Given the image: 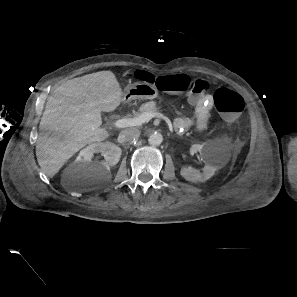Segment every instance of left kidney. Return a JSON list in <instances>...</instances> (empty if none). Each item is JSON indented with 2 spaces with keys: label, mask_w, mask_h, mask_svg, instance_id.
I'll list each match as a JSON object with an SVG mask.
<instances>
[{
  "label": "left kidney",
  "mask_w": 297,
  "mask_h": 297,
  "mask_svg": "<svg viewBox=\"0 0 297 297\" xmlns=\"http://www.w3.org/2000/svg\"><path fill=\"white\" fill-rule=\"evenodd\" d=\"M190 151L193 153L198 151L205 162V166L202 173L191 167L181 168L180 175L187 181L194 183L205 182L210 179L216 170L224 163L210 143L194 144L191 146Z\"/></svg>",
  "instance_id": "obj_1"
}]
</instances>
